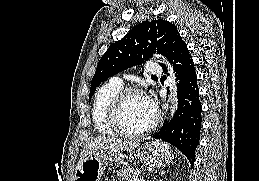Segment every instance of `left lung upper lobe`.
<instances>
[{"label":"left lung upper lobe","mask_w":259,"mask_h":181,"mask_svg":"<svg viewBox=\"0 0 259 181\" xmlns=\"http://www.w3.org/2000/svg\"><path fill=\"white\" fill-rule=\"evenodd\" d=\"M180 38L176 27L163 19L136 25L124 38L113 43L101 57L92 78L89 97L93 96L101 82L148 60L154 50L168 57L172 47Z\"/></svg>","instance_id":"5c2ea615"}]
</instances>
